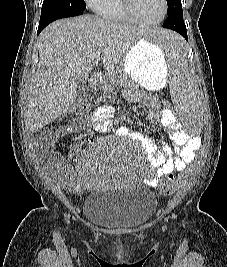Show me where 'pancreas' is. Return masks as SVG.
I'll use <instances>...</instances> for the list:
<instances>
[{"instance_id": "pancreas-1", "label": "pancreas", "mask_w": 227, "mask_h": 267, "mask_svg": "<svg viewBox=\"0 0 227 267\" xmlns=\"http://www.w3.org/2000/svg\"><path fill=\"white\" fill-rule=\"evenodd\" d=\"M128 84H133L126 73L121 70H115L109 73L103 81V91L104 93H110L116 85L126 86Z\"/></svg>"}]
</instances>
